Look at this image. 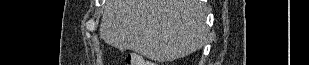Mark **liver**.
Instances as JSON below:
<instances>
[{
	"label": "liver",
	"instance_id": "obj_1",
	"mask_svg": "<svg viewBox=\"0 0 309 65\" xmlns=\"http://www.w3.org/2000/svg\"><path fill=\"white\" fill-rule=\"evenodd\" d=\"M206 35L205 6L199 0H106L100 24L108 45L158 62L195 52Z\"/></svg>",
	"mask_w": 309,
	"mask_h": 65
}]
</instances>
